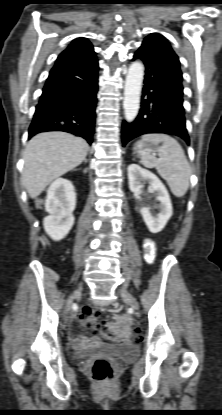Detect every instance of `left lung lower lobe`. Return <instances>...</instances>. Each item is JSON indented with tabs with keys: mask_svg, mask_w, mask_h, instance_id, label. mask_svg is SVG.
<instances>
[{
	"mask_svg": "<svg viewBox=\"0 0 222 415\" xmlns=\"http://www.w3.org/2000/svg\"><path fill=\"white\" fill-rule=\"evenodd\" d=\"M132 60L145 65L141 110L130 123L122 126L123 146L148 133L175 135L189 144L183 108L182 72L178 56L169 42L146 37Z\"/></svg>",
	"mask_w": 222,
	"mask_h": 415,
	"instance_id": "left-lung-lower-lobe-1",
	"label": "left lung lower lobe"
}]
</instances>
